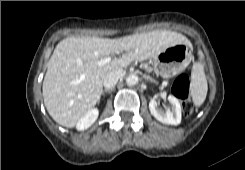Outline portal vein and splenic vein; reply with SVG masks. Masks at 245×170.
Returning a JSON list of instances; mask_svg holds the SVG:
<instances>
[{
  "label": "portal vein and splenic vein",
  "mask_w": 245,
  "mask_h": 170,
  "mask_svg": "<svg viewBox=\"0 0 245 170\" xmlns=\"http://www.w3.org/2000/svg\"><path fill=\"white\" fill-rule=\"evenodd\" d=\"M111 60V57H106V58H103L99 61V65L102 66V65H105L107 64L108 62H110Z\"/></svg>",
  "instance_id": "18ae733b"
}]
</instances>
